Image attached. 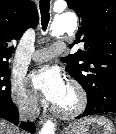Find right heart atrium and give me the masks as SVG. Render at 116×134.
Segmentation results:
<instances>
[{"label": "right heart atrium", "instance_id": "d8ad5b80", "mask_svg": "<svg viewBox=\"0 0 116 134\" xmlns=\"http://www.w3.org/2000/svg\"><path fill=\"white\" fill-rule=\"evenodd\" d=\"M9 97L12 103L24 113L34 114L37 112L38 100L31 95L26 88L17 82H12L9 87Z\"/></svg>", "mask_w": 116, "mask_h": 134}]
</instances>
